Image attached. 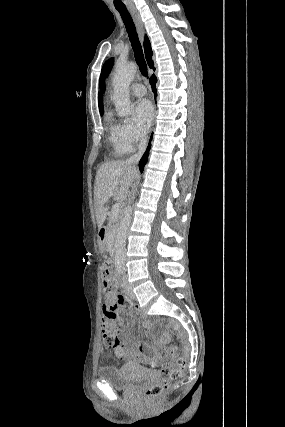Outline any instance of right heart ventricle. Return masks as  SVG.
<instances>
[{
  "mask_svg": "<svg viewBox=\"0 0 285 427\" xmlns=\"http://www.w3.org/2000/svg\"><path fill=\"white\" fill-rule=\"evenodd\" d=\"M108 126H109V133H110L109 141L115 153L120 156L127 154V152L122 148L119 142L118 135H117V126L114 125V123L110 119H108Z\"/></svg>",
  "mask_w": 285,
  "mask_h": 427,
  "instance_id": "obj_1",
  "label": "right heart ventricle"
}]
</instances>
